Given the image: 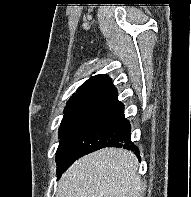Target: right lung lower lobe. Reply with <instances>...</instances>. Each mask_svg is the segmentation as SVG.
<instances>
[{"label":"right lung lower lobe","mask_w":191,"mask_h":197,"mask_svg":"<svg viewBox=\"0 0 191 197\" xmlns=\"http://www.w3.org/2000/svg\"><path fill=\"white\" fill-rule=\"evenodd\" d=\"M131 126L124 116V106L114 91L95 105L78 132L62 173L77 159L104 147H123L139 155L130 140Z\"/></svg>","instance_id":"obj_1"}]
</instances>
